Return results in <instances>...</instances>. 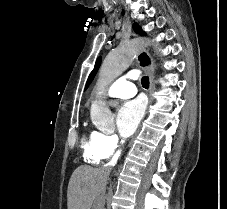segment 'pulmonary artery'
Returning <instances> with one entry per match:
<instances>
[{"mask_svg": "<svg viewBox=\"0 0 227 209\" xmlns=\"http://www.w3.org/2000/svg\"><path fill=\"white\" fill-rule=\"evenodd\" d=\"M133 81H137V79H133ZM136 94V90L134 89V84H131V81L122 78L116 80L110 88L108 89L107 96L109 97H120V98H130Z\"/></svg>", "mask_w": 227, "mask_h": 209, "instance_id": "1", "label": "pulmonary artery"}]
</instances>
